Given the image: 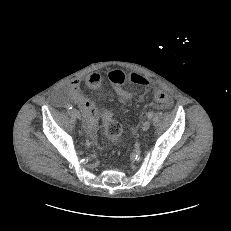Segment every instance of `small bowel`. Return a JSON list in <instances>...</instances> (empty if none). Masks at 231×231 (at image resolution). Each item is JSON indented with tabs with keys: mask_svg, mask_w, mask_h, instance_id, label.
<instances>
[{
	"mask_svg": "<svg viewBox=\"0 0 231 231\" xmlns=\"http://www.w3.org/2000/svg\"><path fill=\"white\" fill-rule=\"evenodd\" d=\"M88 87L96 89L100 85V76L92 74L86 81ZM114 92L122 101H129L133 93L123 89L121 86H112ZM61 95L74 102L84 115V127L93 141L97 140L96 125L98 112L95 105L81 93V82L78 79L72 80L67 86L61 88Z\"/></svg>",
	"mask_w": 231,
	"mask_h": 231,
	"instance_id": "c3829d8e",
	"label": "small bowel"
}]
</instances>
